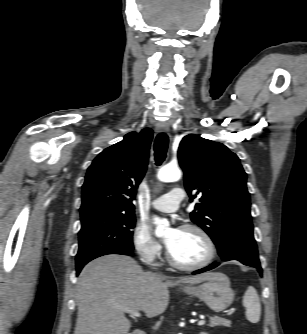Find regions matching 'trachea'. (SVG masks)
<instances>
[{
    "label": "trachea",
    "mask_w": 307,
    "mask_h": 334,
    "mask_svg": "<svg viewBox=\"0 0 307 334\" xmlns=\"http://www.w3.org/2000/svg\"><path fill=\"white\" fill-rule=\"evenodd\" d=\"M167 148L168 136L165 133L158 134L154 142V155L157 166L161 165L165 160Z\"/></svg>",
    "instance_id": "1"
}]
</instances>
